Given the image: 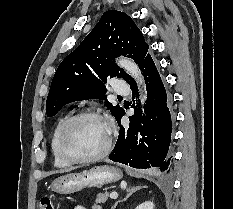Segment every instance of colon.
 Here are the masks:
<instances>
[{"mask_svg":"<svg viewBox=\"0 0 233 209\" xmlns=\"http://www.w3.org/2000/svg\"><path fill=\"white\" fill-rule=\"evenodd\" d=\"M38 209H54L51 198L48 196L41 197L38 202Z\"/></svg>","mask_w":233,"mask_h":209,"instance_id":"obj_1","label":"colon"}]
</instances>
